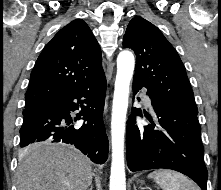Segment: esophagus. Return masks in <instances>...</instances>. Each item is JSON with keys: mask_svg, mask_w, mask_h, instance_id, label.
Segmentation results:
<instances>
[{"mask_svg": "<svg viewBox=\"0 0 221 190\" xmlns=\"http://www.w3.org/2000/svg\"><path fill=\"white\" fill-rule=\"evenodd\" d=\"M108 99H109V95H107V97H106L105 112L107 111V102H108Z\"/></svg>", "mask_w": 221, "mask_h": 190, "instance_id": "34e87169", "label": "esophagus"}]
</instances>
